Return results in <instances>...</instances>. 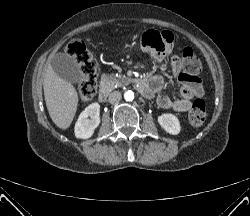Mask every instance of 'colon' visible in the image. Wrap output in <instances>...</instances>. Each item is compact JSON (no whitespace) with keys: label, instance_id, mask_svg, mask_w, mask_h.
I'll return each instance as SVG.
<instances>
[{"label":"colon","instance_id":"colon-1","mask_svg":"<svg viewBox=\"0 0 250 216\" xmlns=\"http://www.w3.org/2000/svg\"><path fill=\"white\" fill-rule=\"evenodd\" d=\"M67 53L72 57L80 67L82 80L78 86L80 99L83 102H89L93 99L97 91V61L86 47L79 41H74L67 46ZM182 72L189 77H197L201 72V62L191 48H185L180 59ZM188 118L191 124L199 126L206 119L205 102L196 99L189 111Z\"/></svg>","mask_w":250,"mask_h":216}]
</instances>
